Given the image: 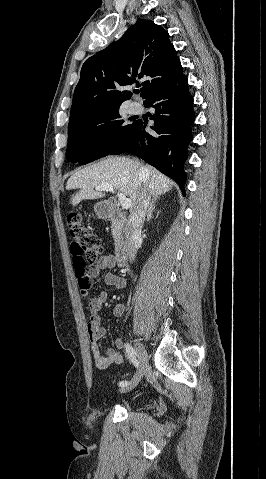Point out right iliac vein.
Instances as JSON below:
<instances>
[{
    "mask_svg": "<svg viewBox=\"0 0 266 479\" xmlns=\"http://www.w3.org/2000/svg\"><path fill=\"white\" fill-rule=\"evenodd\" d=\"M135 348L139 360V367L134 375V378L126 386L120 388L119 391L121 393L131 391L133 388H135L148 367V355L142 343L136 341Z\"/></svg>",
    "mask_w": 266,
    "mask_h": 479,
    "instance_id": "1",
    "label": "right iliac vein"
}]
</instances>
